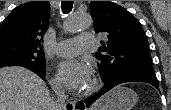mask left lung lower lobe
<instances>
[{"mask_svg": "<svg viewBox=\"0 0 171 110\" xmlns=\"http://www.w3.org/2000/svg\"><path fill=\"white\" fill-rule=\"evenodd\" d=\"M125 82H146L155 86L159 90L158 80L154 72L151 71H127L113 76L104 81L103 88L92 98L86 99L85 104L89 107L95 100L105 94L113 87Z\"/></svg>", "mask_w": 171, "mask_h": 110, "instance_id": "left-lung-lower-lobe-1", "label": "left lung lower lobe"}]
</instances>
